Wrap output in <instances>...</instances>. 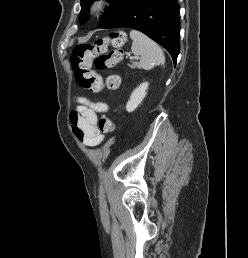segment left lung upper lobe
<instances>
[{
  "label": "left lung upper lobe",
  "mask_w": 248,
  "mask_h": 258,
  "mask_svg": "<svg viewBox=\"0 0 248 258\" xmlns=\"http://www.w3.org/2000/svg\"><path fill=\"white\" fill-rule=\"evenodd\" d=\"M93 0H81V14L80 22H84L87 19V12L90 3ZM129 0H108L111 4V10L107 11L99 23V26L106 24L110 21L128 2Z\"/></svg>",
  "instance_id": "5c2ea615"
}]
</instances>
